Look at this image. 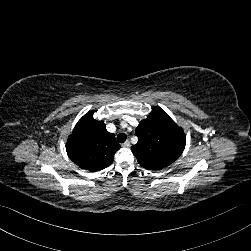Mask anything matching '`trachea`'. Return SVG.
Returning <instances> with one entry per match:
<instances>
[{
	"instance_id": "trachea-1",
	"label": "trachea",
	"mask_w": 251,
	"mask_h": 251,
	"mask_svg": "<svg viewBox=\"0 0 251 251\" xmlns=\"http://www.w3.org/2000/svg\"><path fill=\"white\" fill-rule=\"evenodd\" d=\"M127 139V135L125 133H119L117 136V141L119 143H124Z\"/></svg>"
}]
</instances>
